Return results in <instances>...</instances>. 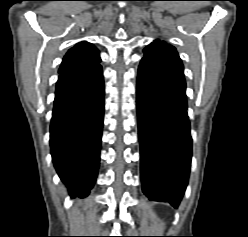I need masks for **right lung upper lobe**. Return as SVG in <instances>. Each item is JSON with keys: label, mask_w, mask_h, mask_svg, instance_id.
Returning a JSON list of instances; mask_svg holds the SVG:
<instances>
[{"label": "right lung upper lobe", "mask_w": 248, "mask_h": 237, "mask_svg": "<svg viewBox=\"0 0 248 237\" xmlns=\"http://www.w3.org/2000/svg\"><path fill=\"white\" fill-rule=\"evenodd\" d=\"M99 51L88 42H80L71 48L64 56L59 69L60 74L81 71L99 64Z\"/></svg>", "instance_id": "cb5924a9"}]
</instances>
